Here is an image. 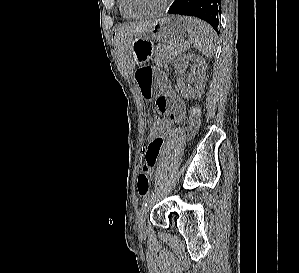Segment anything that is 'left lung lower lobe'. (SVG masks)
Here are the masks:
<instances>
[{
	"label": "left lung lower lobe",
	"mask_w": 299,
	"mask_h": 273,
	"mask_svg": "<svg viewBox=\"0 0 299 273\" xmlns=\"http://www.w3.org/2000/svg\"><path fill=\"white\" fill-rule=\"evenodd\" d=\"M167 12L201 18L219 34L221 0H175Z\"/></svg>",
	"instance_id": "0a47b994"
}]
</instances>
